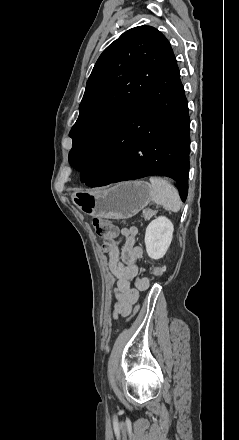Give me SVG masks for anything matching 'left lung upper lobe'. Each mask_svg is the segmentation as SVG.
<instances>
[{
  "instance_id": "5c2ea615",
  "label": "left lung upper lobe",
  "mask_w": 239,
  "mask_h": 440,
  "mask_svg": "<svg viewBox=\"0 0 239 440\" xmlns=\"http://www.w3.org/2000/svg\"><path fill=\"white\" fill-rule=\"evenodd\" d=\"M173 50L151 26L134 27L100 55L87 81L79 117L69 136V163L81 172L110 132L138 103L165 67Z\"/></svg>"
}]
</instances>
